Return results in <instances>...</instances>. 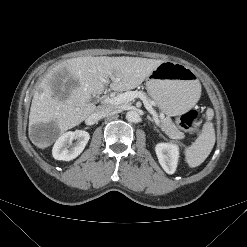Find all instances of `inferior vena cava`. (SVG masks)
Masks as SVG:
<instances>
[{
	"instance_id": "602c4592",
	"label": "inferior vena cava",
	"mask_w": 247,
	"mask_h": 247,
	"mask_svg": "<svg viewBox=\"0 0 247 247\" xmlns=\"http://www.w3.org/2000/svg\"><path fill=\"white\" fill-rule=\"evenodd\" d=\"M114 111H115V109L112 106H108V105L98 106L97 109L95 110V112L91 114V117L94 120L98 121V120L110 115Z\"/></svg>"
}]
</instances>
